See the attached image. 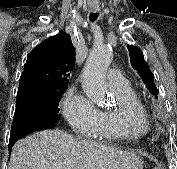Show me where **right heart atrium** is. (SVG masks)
I'll list each match as a JSON object with an SVG mask.
<instances>
[{
	"instance_id": "1",
	"label": "right heart atrium",
	"mask_w": 177,
	"mask_h": 169,
	"mask_svg": "<svg viewBox=\"0 0 177 169\" xmlns=\"http://www.w3.org/2000/svg\"><path fill=\"white\" fill-rule=\"evenodd\" d=\"M63 113L78 134L88 135L97 126L99 110L82 92L70 89L62 103Z\"/></svg>"
}]
</instances>
